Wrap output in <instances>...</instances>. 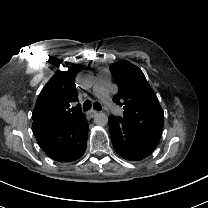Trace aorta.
Masks as SVG:
<instances>
[{"mask_svg": "<svg viewBox=\"0 0 208 208\" xmlns=\"http://www.w3.org/2000/svg\"><path fill=\"white\" fill-rule=\"evenodd\" d=\"M94 123L100 126H104L108 123V115L105 112H97L94 116Z\"/></svg>", "mask_w": 208, "mask_h": 208, "instance_id": "1", "label": "aorta"}]
</instances>
